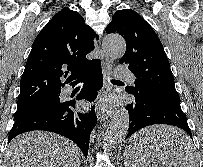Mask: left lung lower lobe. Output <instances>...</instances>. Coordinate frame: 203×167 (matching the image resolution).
Listing matches in <instances>:
<instances>
[{
	"mask_svg": "<svg viewBox=\"0 0 203 167\" xmlns=\"http://www.w3.org/2000/svg\"><path fill=\"white\" fill-rule=\"evenodd\" d=\"M134 97L133 102L126 106L130 116L127 138L143 127L153 124H167L181 128L192 139L186 115L180 106L179 96H160L155 91H145L134 95ZM190 138H187L188 142L178 146L185 150L188 146L186 143L190 144ZM144 143L148 147L157 145L154 141Z\"/></svg>",
	"mask_w": 203,
	"mask_h": 167,
	"instance_id": "1",
	"label": "left lung lower lobe"
}]
</instances>
